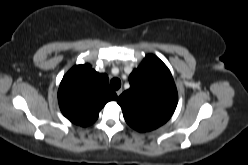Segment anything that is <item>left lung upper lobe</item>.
I'll list each match as a JSON object with an SVG mask.
<instances>
[{
  "label": "left lung upper lobe",
  "instance_id": "obj_1",
  "mask_svg": "<svg viewBox=\"0 0 248 165\" xmlns=\"http://www.w3.org/2000/svg\"><path fill=\"white\" fill-rule=\"evenodd\" d=\"M129 82L130 88L117 103L132 128L145 132L170 119L177 105V89L169 69L158 57L148 55L130 74Z\"/></svg>",
  "mask_w": 248,
  "mask_h": 165
}]
</instances>
